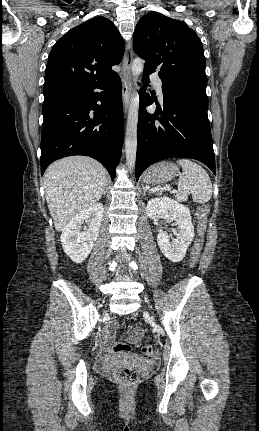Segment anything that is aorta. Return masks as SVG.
<instances>
[{
    "instance_id": "aorta-1",
    "label": "aorta",
    "mask_w": 259,
    "mask_h": 431,
    "mask_svg": "<svg viewBox=\"0 0 259 431\" xmlns=\"http://www.w3.org/2000/svg\"><path fill=\"white\" fill-rule=\"evenodd\" d=\"M143 68H144L143 60L140 58L134 59L131 67L134 80H137L138 76L142 73ZM137 123H138V102L135 98H133L131 100L129 111H128L126 139H125L126 162L130 170L134 169L135 162H136Z\"/></svg>"
}]
</instances>
